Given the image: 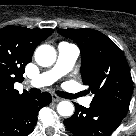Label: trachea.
Masks as SVG:
<instances>
[{
  "mask_svg": "<svg viewBox=\"0 0 136 136\" xmlns=\"http://www.w3.org/2000/svg\"><path fill=\"white\" fill-rule=\"evenodd\" d=\"M30 92L33 93V94H37V93H40V90L33 88V89L30 90ZM57 95H59L62 98H67V99H74V98L80 96V94H75L74 95V94H69V93L61 92V91H58Z\"/></svg>",
  "mask_w": 136,
  "mask_h": 136,
  "instance_id": "1",
  "label": "trachea"
}]
</instances>
